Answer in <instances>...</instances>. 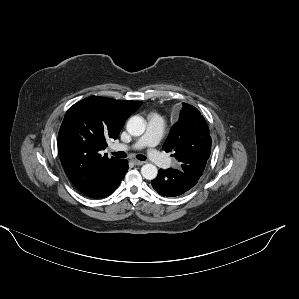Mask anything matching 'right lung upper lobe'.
Returning a JSON list of instances; mask_svg holds the SVG:
<instances>
[{
	"mask_svg": "<svg viewBox=\"0 0 299 299\" xmlns=\"http://www.w3.org/2000/svg\"><path fill=\"white\" fill-rule=\"evenodd\" d=\"M141 104L91 96L68 109L58 134V151L65 173L80 192L90 195L107 183L121 159L100 152L106 139H116Z\"/></svg>",
	"mask_w": 299,
	"mask_h": 299,
	"instance_id": "1",
	"label": "right lung upper lobe"
}]
</instances>
